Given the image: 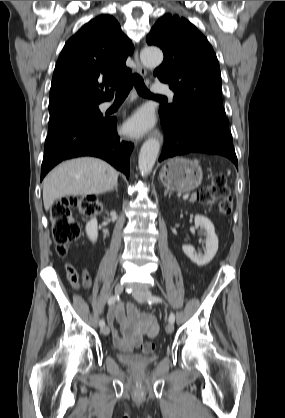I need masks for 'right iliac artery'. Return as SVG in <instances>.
<instances>
[{"label":"right iliac artery","instance_id":"82829eb1","mask_svg":"<svg viewBox=\"0 0 285 418\" xmlns=\"http://www.w3.org/2000/svg\"><path fill=\"white\" fill-rule=\"evenodd\" d=\"M116 300H117V297H116V296H112V297H110V298L108 299V304H109V305H113V304L116 302ZM99 325H100V327H103V326L105 325L104 320H100V321H99Z\"/></svg>","mask_w":285,"mask_h":418}]
</instances>
